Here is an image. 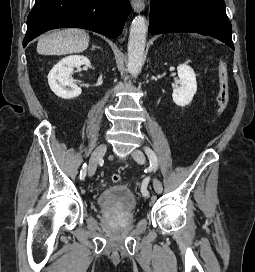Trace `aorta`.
Segmentation results:
<instances>
[{
    "label": "aorta",
    "mask_w": 255,
    "mask_h": 272,
    "mask_svg": "<svg viewBox=\"0 0 255 272\" xmlns=\"http://www.w3.org/2000/svg\"><path fill=\"white\" fill-rule=\"evenodd\" d=\"M147 30L148 25L145 17L137 16L133 19L128 40L127 69L134 77L140 73L142 68Z\"/></svg>",
    "instance_id": "obj_1"
}]
</instances>
